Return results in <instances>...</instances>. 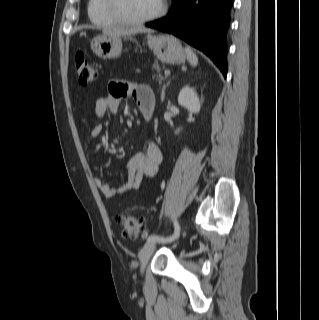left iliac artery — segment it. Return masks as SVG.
<instances>
[{
  "label": "left iliac artery",
  "instance_id": "1",
  "mask_svg": "<svg viewBox=\"0 0 319 320\" xmlns=\"http://www.w3.org/2000/svg\"><path fill=\"white\" fill-rule=\"evenodd\" d=\"M180 235V226L178 224V222L175 220L174 221V233L172 236L170 237H161L158 235H150L147 239L148 242H162V243H169L172 242L174 240H176Z\"/></svg>",
  "mask_w": 319,
  "mask_h": 320
}]
</instances>
